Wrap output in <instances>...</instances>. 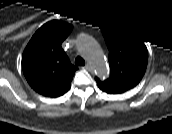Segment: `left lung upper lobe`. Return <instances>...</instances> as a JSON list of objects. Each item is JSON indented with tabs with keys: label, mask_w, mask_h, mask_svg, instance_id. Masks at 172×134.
Masks as SVG:
<instances>
[{
	"label": "left lung upper lobe",
	"mask_w": 172,
	"mask_h": 134,
	"mask_svg": "<svg viewBox=\"0 0 172 134\" xmlns=\"http://www.w3.org/2000/svg\"><path fill=\"white\" fill-rule=\"evenodd\" d=\"M102 34L109 50L110 77L95 80L102 91L120 94L141 81L148 63L147 49L136 36L121 28L103 27Z\"/></svg>",
	"instance_id": "left-lung-upper-lobe-1"
}]
</instances>
